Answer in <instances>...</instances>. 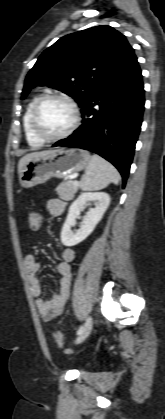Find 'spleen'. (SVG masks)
<instances>
[{
	"mask_svg": "<svg viewBox=\"0 0 165 419\" xmlns=\"http://www.w3.org/2000/svg\"><path fill=\"white\" fill-rule=\"evenodd\" d=\"M120 175L116 168L97 154H93L81 178L80 188L84 191L101 190L110 183L118 185Z\"/></svg>",
	"mask_w": 165,
	"mask_h": 419,
	"instance_id": "3e777b00",
	"label": "spleen"
}]
</instances>
